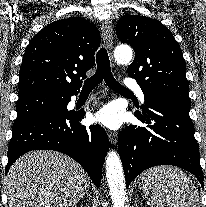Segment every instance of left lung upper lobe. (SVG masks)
Instances as JSON below:
<instances>
[{
    "mask_svg": "<svg viewBox=\"0 0 206 207\" xmlns=\"http://www.w3.org/2000/svg\"><path fill=\"white\" fill-rule=\"evenodd\" d=\"M116 34L135 50L127 72L136 79L145 100L163 98L191 104L186 63L178 42L166 26L152 18L125 15L117 23Z\"/></svg>",
    "mask_w": 206,
    "mask_h": 207,
    "instance_id": "1",
    "label": "left lung upper lobe"
}]
</instances>
